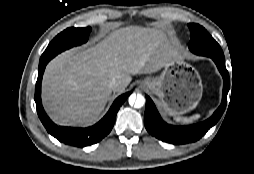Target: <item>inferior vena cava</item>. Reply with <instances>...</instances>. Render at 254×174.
Listing matches in <instances>:
<instances>
[{"label":"inferior vena cava","mask_w":254,"mask_h":174,"mask_svg":"<svg viewBox=\"0 0 254 174\" xmlns=\"http://www.w3.org/2000/svg\"><path fill=\"white\" fill-rule=\"evenodd\" d=\"M109 86L112 88V89H115L119 86V81L115 78H113L110 82H109Z\"/></svg>","instance_id":"obj_1"}]
</instances>
